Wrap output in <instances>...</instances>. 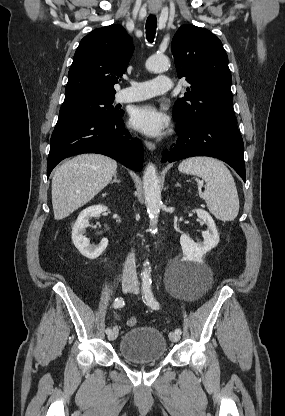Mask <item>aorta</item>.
<instances>
[{
  "instance_id": "aorta-1",
  "label": "aorta",
  "mask_w": 285,
  "mask_h": 416,
  "mask_svg": "<svg viewBox=\"0 0 285 416\" xmlns=\"http://www.w3.org/2000/svg\"><path fill=\"white\" fill-rule=\"evenodd\" d=\"M170 62L168 57L163 55H153L146 61V68L148 71L153 73H162L168 70ZM143 188L145 193V204L147 212L150 217V225L155 229L158 223V217L160 208L162 205L161 201V189L159 179L156 172V167L149 163L146 167L143 176ZM148 269L143 271V275H149Z\"/></svg>"
}]
</instances>
